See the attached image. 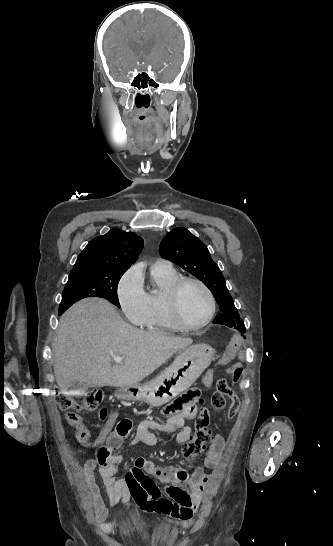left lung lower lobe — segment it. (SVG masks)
Returning <instances> with one entry per match:
<instances>
[{"instance_id": "1", "label": "left lung lower lobe", "mask_w": 333, "mask_h": 546, "mask_svg": "<svg viewBox=\"0 0 333 546\" xmlns=\"http://www.w3.org/2000/svg\"><path fill=\"white\" fill-rule=\"evenodd\" d=\"M213 323L214 324L226 325L228 327H234L235 329H237L241 333L245 332L244 323H242L239 320H235L234 318L230 317L226 313H221V314L217 315L216 318L214 319Z\"/></svg>"}]
</instances>
